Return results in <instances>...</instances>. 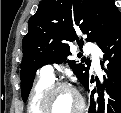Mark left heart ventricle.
Masks as SVG:
<instances>
[{"instance_id":"obj_1","label":"left heart ventricle","mask_w":121,"mask_h":113,"mask_svg":"<svg viewBox=\"0 0 121 113\" xmlns=\"http://www.w3.org/2000/svg\"><path fill=\"white\" fill-rule=\"evenodd\" d=\"M53 110L57 112H69L77 105V99L73 93L67 90H60L53 101Z\"/></svg>"}]
</instances>
